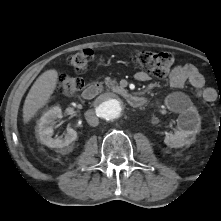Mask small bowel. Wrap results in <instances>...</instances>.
Masks as SVG:
<instances>
[{
    "label": "small bowel",
    "instance_id": "small-bowel-1",
    "mask_svg": "<svg viewBox=\"0 0 221 221\" xmlns=\"http://www.w3.org/2000/svg\"><path fill=\"white\" fill-rule=\"evenodd\" d=\"M135 78L145 82L149 76L145 72H137ZM170 85L173 88H182L186 83L192 85L199 97L207 102H214L217 99V92L210 87H205V81L198 69L189 63L175 66L169 76Z\"/></svg>",
    "mask_w": 221,
    "mask_h": 221
}]
</instances>
